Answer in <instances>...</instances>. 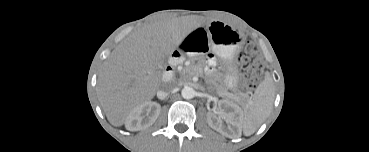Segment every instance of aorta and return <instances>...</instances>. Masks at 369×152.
Masks as SVG:
<instances>
[{"instance_id":"1","label":"aorta","mask_w":369,"mask_h":152,"mask_svg":"<svg viewBox=\"0 0 369 152\" xmlns=\"http://www.w3.org/2000/svg\"><path fill=\"white\" fill-rule=\"evenodd\" d=\"M181 95L184 99H192L195 96V90L192 87L185 86L181 91Z\"/></svg>"}]
</instances>
